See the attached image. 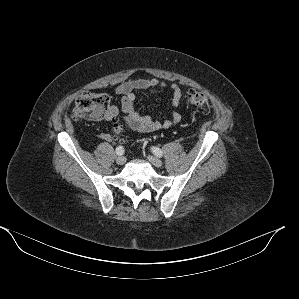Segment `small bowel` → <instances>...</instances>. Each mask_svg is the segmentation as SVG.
<instances>
[{
    "label": "small bowel",
    "mask_w": 299,
    "mask_h": 299,
    "mask_svg": "<svg viewBox=\"0 0 299 299\" xmlns=\"http://www.w3.org/2000/svg\"><path fill=\"white\" fill-rule=\"evenodd\" d=\"M156 89H161L170 102L171 115L168 118H153L149 115L141 114L135 108V94L137 91L147 90L153 95ZM115 92L120 96V100L118 104L109 106L103 117L105 121L115 120L119 113V107L125 114V124L129 129L137 133L168 129L181 121L182 116L178 111L181 102V89L175 83L168 85L156 78H141L120 83L116 86ZM101 138L106 141L112 140V136L107 133L102 134Z\"/></svg>",
    "instance_id": "1"
}]
</instances>
